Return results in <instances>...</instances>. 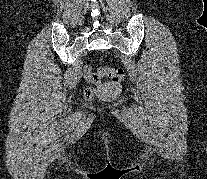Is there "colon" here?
<instances>
[{"instance_id":"colon-1","label":"colon","mask_w":207,"mask_h":179,"mask_svg":"<svg viewBox=\"0 0 207 179\" xmlns=\"http://www.w3.org/2000/svg\"><path fill=\"white\" fill-rule=\"evenodd\" d=\"M85 76L92 86H89L84 90V97L87 100H91L99 91V85L102 77H109L115 82H121L125 79L126 74L122 68L101 67L98 72H93L88 67L85 71Z\"/></svg>"}]
</instances>
